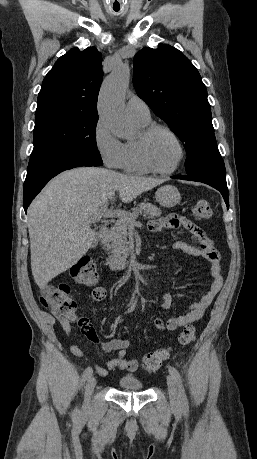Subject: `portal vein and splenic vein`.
Listing matches in <instances>:
<instances>
[{
    "label": "portal vein and splenic vein",
    "instance_id": "obj_1",
    "mask_svg": "<svg viewBox=\"0 0 257 459\" xmlns=\"http://www.w3.org/2000/svg\"><path fill=\"white\" fill-rule=\"evenodd\" d=\"M102 218H118L119 220L126 221L129 226L136 225V217L129 216L126 211L123 210H107V207L100 210L97 214L90 217L88 222L94 223L100 221Z\"/></svg>",
    "mask_w": 257,
    "mask_h": 459
}]
</instances>
